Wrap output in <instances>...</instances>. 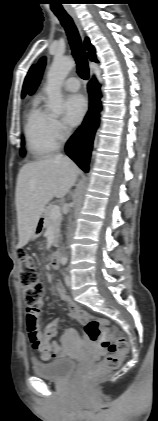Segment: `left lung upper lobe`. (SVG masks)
<instances>
[{
	"label": "left lung upper lobe",
	"mask_w": 158,
	"mask_h": 421,
	"mask_svg": "<svg viewBox=\"0 0 158 421\" xmlns=\"http://www.w3.org/2000/svg\"><path fill=\"white\" fill-rule=\"evenodd\" d=\"M44 66H45V58L43 57V58L40 59V61L38 63L37 70H36L33 82L31 84L30 90H29L30 95L35 92L37 86L39 85Z\"/></svg>",
	"instance_id": "1"
}]
</instances>
